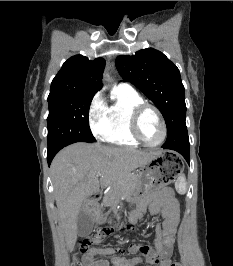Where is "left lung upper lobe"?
Returning a JSON list of instances; mask_svg holds the SVG:
<instances>
[{
	"mask_svg": "<svg viewBox=\"0 0 233 266\" xmlns=\"http://www.w3.org/2000/svg\"><path fill=\"white\" fill-rule=\"evenodd\" d=\"M121 77L134 84L162 113L168 136L186 125L184 86L179 69L153 48L132 56H118L115 61Z\"/></svg>",
	"mask_w": 233,
	"mask_h": 266,
	"instance_id": "left-lung-upper-lobe-1",
	"label": "left lung upper lobe"
}]
</instances>
